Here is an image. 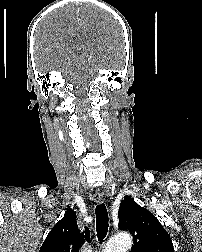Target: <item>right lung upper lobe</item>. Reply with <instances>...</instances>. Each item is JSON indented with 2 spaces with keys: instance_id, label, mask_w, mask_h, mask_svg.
Segmentation results:
<instances>
[{
  "instance_id": "cb5924a9",
  "label": "right lung upper lobe",
  "mask_w": 202,
  "mask_h": 252,
  "mask_svg": "<svg viewBox=\"0 0 202 252\" xmlns=\"http://www.w3.org/2000/svg\"><path fill=\"white\" fill-rule=\"evenodd\" d=\"M85 240H90L89 229L85 227V232L80 233L76 214L69 209L52 228L39 252H78Z\"/></svg>"
}]
</instances>
